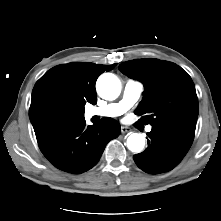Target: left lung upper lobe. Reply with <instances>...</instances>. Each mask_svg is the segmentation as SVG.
<instances>
[{
  "label": "left lung upper lobe",
  "mask_w": 221,
  "mask_h": 221,
  "mask_svg": "<svg viewBox=\"0 0 221 221\" xmlns=\"http://www.w3.org/2000/svg\"><path fill=\"white\" fill-rule=\"evenodd\" d=\"M120 71L144 84V96L135 110L139 122L165 126L194 137L198 118L195 85L180 66L158 59H136L119 65Z\"/></svg>",
  "instance_id": "obj_1"
}]
</instances>
